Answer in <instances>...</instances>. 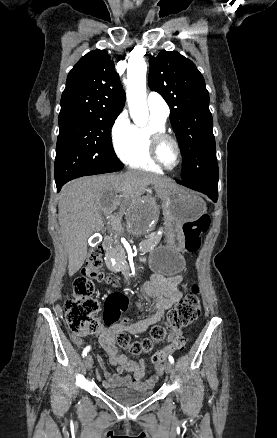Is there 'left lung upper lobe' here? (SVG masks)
<instances>
[{
    "label": "left lung upper lobe",
    "instance_id": "obj_1",
    "mask_svg": "<svg viewBox=\"0 0 277 438\" xmlns=\"http://www.w3.org/2000/svg\"><path fill=\"white\" fill-rule=\"evenodd\" d=\"M149 87L170 107L183 158L182 182L218 185L216 144L209 93L195 64L176 51L149 58Z\"/></svg>",
    "mask_w": 277,
    "mask_h": 438
}]
</instances>
